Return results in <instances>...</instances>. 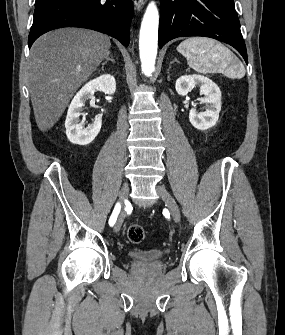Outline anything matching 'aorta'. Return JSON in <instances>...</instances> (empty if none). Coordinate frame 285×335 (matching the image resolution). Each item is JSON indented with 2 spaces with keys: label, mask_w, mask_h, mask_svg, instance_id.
<instances>
[{
  "label": "aorta",
  "mask_w": 285,
  "mask_h": 335,
  "mask_svg": "<svg viewBox=\"0 0 285 335\" xmlns=\"http://www.w3.org/2000/svg\"><path fill=\"white\" fill-rule=\"evenodd\" d=\"M159 14L155 2L149 4L141 24L139 50L144 76H152L158 48Z\"/></svg>",
  "instance_id": "762f6f07"
}]
</instances>
